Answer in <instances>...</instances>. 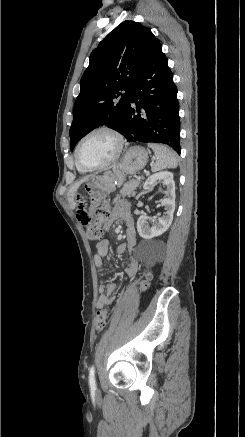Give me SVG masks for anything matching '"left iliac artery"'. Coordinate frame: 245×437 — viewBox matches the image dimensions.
Instances as JSON below:
<instances>
[{
    "label": "left iliac artery",
    "instance_id": "44dca946",
    "mask_svg": "<svg viewBox=\"0 0 245 437\" xmlns=\"http://www.w3.org/2000/svg\"><path fill=\"white\" fill-rule=\"evenodd\" d=\"M89 385H90L91 389H95V388H96L95 369H94V366H92V367L90 368V371H89Z\"/></svg>",
    "mask_w": 245,
    "mask_h": 437
}]
</instances>
